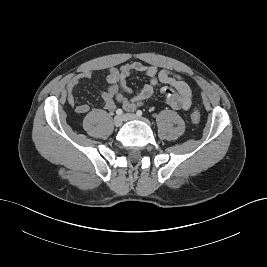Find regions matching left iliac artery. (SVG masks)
<instances>
[{"instance_id": "left-iliac-artery-1", "label": "left iliac artery", "mask_w": 267, "mask_h": 267, "mask_svg": "<svg viewBox=\"0 0 267 267\" xmlns=\"http://www.w3.org/2000/svg\"><path fill=\"white\" fill-rule=\"evenodd\" d=\"M136 114H137V116L141 117L143 113H142L141 110H138V111L136 112Z\"/></svg>"}]
</instances>
